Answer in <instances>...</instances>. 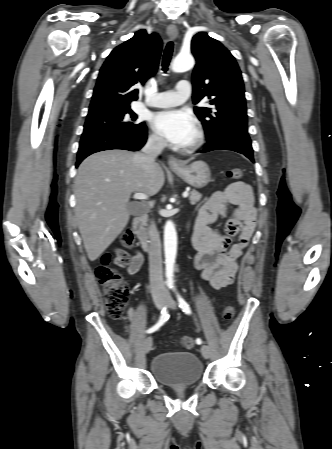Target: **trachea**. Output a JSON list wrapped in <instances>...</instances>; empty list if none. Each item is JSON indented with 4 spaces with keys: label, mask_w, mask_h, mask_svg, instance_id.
<instances>
[{
    "label": "trachea",
    "mask_w": 332,
    "mask_h": 449,
    "mask_svg": "<svg viewBox=\"0 0 332 449\" xmlns=\"http://www.w3.org/2000/svg\"><path fill=\"white\" fill-rule=\"evenodd\" d=\"M173 42H169L164 50V55L162 59V69L164 72H167L168 66L170 64L172 54H173Z\"/></svg>",
    "instance_id": "1"
}]
</instances>
